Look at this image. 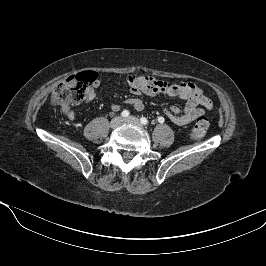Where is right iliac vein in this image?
Masks as SVG:
<instances>
[{"label":"right iliac vein","instance_id":"1","mask_svg":"<svg viewBox=\"0 0 266 266\" xmlns=\"http://www.w3.org/2000/svg\"><path fill=\"white\" fill-rule=\"evenodd\" d=\"M122 122H123L122 117L117 116V117H115V118H113V119L111 120V122H110V127H111L112 129H115V128H117L118 126H120V125L122 124Z\"/></svg>","mask_w":266,"mask_h":266}]
</instances>
